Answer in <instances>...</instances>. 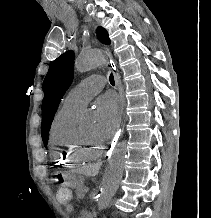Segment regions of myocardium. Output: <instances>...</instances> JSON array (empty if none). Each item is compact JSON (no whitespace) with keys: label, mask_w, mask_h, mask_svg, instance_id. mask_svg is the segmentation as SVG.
Returning a JSON list of instances; mask_svg holds the SVG:
<instances>
[{"label":"myocardium","mask_w":211,"mask_h":218,"mask_svg":"<svg viewBox=\"0 0 211 218\" xmlns=\"http://www.w3.org/2000/svg\"><path fill=\"white\" fill-rule=\"evenodd\" d=\"M77 142L82 150L96 155H100L105 149V142L103 140H90L86 138L81 127L77 128Z\"/></svg>","instance_id":"obj_1"}]
</instances>
